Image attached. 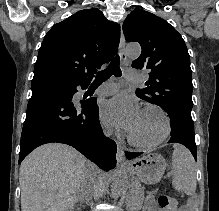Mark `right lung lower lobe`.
<instances>
[{
  "label": "right lung lower lobe",
  "mask_w": 219,
  "mask_h": 211,
  "mask_svg": "<svg viewBox=\"0 0 219 211\" xmlns=\"http://www.w3.org/2000/svg\"><path fill=\"white\" fill-rule=\"evenodd\" d=\"M89 84H38L32 86L20 141L19 163L45 143L76 148L100 168L116 165V143L103 135L96 100L78 101L76 87Z\"/></svg>",
  "instance_id": "98d812e1"
}]
</instances>
